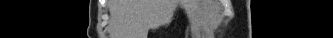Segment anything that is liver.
I'll list each match as a JSON object with an SVG mask.
<instances>
[{"mask_svg":"<svg viewBox=\"0 0 333 38\" xmlns=\"http://www.w3.org/2000/svg\"><path fill=\"white\" fill-rule=\"evenodd\" d=\"M143 11L149 12V11H159L160 8L158 6V3L153 0H145L144 4L142 6Z\"/></svg>","mask_w":333,"mask_h":38,"instance_id":"1","label":"liver"}]
</instances>
